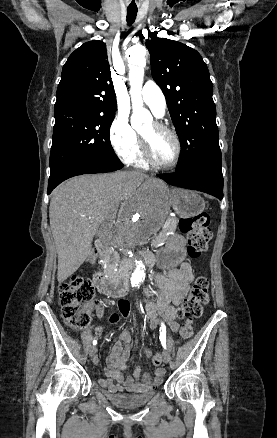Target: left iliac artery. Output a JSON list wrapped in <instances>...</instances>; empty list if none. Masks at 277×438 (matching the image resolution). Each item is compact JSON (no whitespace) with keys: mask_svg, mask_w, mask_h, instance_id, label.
<instances>
[{"mask_svg":"<svg viewBox=\"0 0 277 438\" xmlns=\"http://www.w3.org/2000/svg\"><path fill=\"white\" fill-rule=\"evenodd\" d=\"M160 341L164 349H166V326L164 323L160 327Z\"/></svg>","mask_w":277,"mask_h":438,"instance_id":"obj_1","label":"left iliac artery"}]
</instances>
